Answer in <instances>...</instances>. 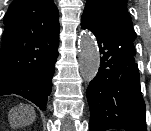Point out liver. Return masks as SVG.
<instances>
[{
	"instance_id": "6515ba94",
	"label": "liver",
	"mask_w": 151,
	"mask_h": 131,
	"mask_svg": "<svg viewBox=\"0 0 151 131\" xmlns=\"http://www.w3.org/2000/svg\"><path fill=\"white\" fill-rule=\"evenodd\" d=\"M27 115H28V118L25 124L32 123L35 120V111L32 108H28Z\"/></svg>"
}]
</instances>
